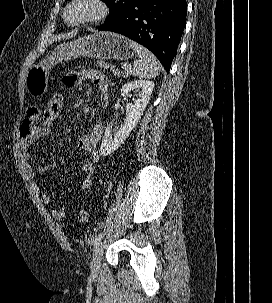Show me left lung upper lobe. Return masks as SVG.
<instances>
[{
  "instance_id": "left-lung-upper-lobe-1",
  "label": "left lung upper lobe",
  "mask_w": 272,
  "mask_h": 303,
  "mask_svg": "<svg viewBox=\"0 0 272 303\" xmlns=\"http://www.w3.org/2000/svg\"><path fill=\"white\" fill-rule=\"evenodd\" d=\"M110 7V14L105 22L110 21L124 12H126L131 6H133L138 0H105Z\"/></svg>"
}]
</instances>
